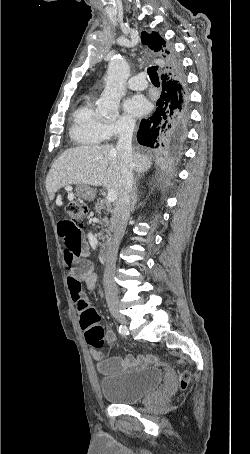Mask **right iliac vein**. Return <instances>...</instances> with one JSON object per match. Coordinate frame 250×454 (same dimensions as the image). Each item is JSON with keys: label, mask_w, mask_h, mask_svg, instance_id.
Masks as SVG:
<instances>
[{"label": "right iliac vein", "mask_w": 250, "mask_h": 454, "mask_svg": "<svg viewBox=\"0 0 250 454\" xmlns=\"http://www.w3.org/2000/svg\"><path fill=\"white\" fill-rule=\"evenodd\" d=\"M111 314L113 315V317L121 324L123 325H126L127 324V319L124 315H122L118 308H112L111 309Z\"/></svg>", "instance_id": "obj_1"}]
</instances>
